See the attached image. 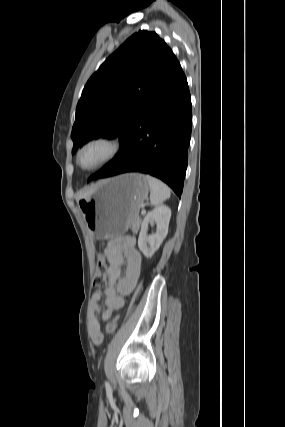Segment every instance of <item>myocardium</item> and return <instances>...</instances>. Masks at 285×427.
I'll return each instance as SVG.
<instances>
[{"mask_svg":"<svg viewBox=\"0 0 285 427\" xmlns=\"http://www.w3.org/2000/svg\"><path fill=\"white\" fill-rule=\"evenodd\" d=\"M96 144H102L107 147L106 155L95 165L90 167H84L82 165V156L84 152L91 146ZM121 149L120 141L110 135H98L89 140H87L78 150L76 156V164L84 172H93L102 169L109 163H111L118 155Z\"/></svg>","mask_w":285,"mask_h":427,"instance_id":"myocardium-1","label":"myocardium"}]
</instances>
